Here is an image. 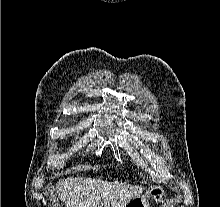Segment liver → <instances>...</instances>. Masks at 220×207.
I'll list each match as a JSON object with an SVG mask.
<instances>
[{
  "label": "liver",
  "mask_w": 220,
  "mask_h": 207,
  "mask_svg": "<svg viewBox=\"0 0 220 207\" xmlns=\"http://www.w3.org/2000/svg\"><path fill=\"white\" fill-rule=\"evenodd\" d=\"M55 190L66 207H125L142 193L143 188L117 180L71 177L60 180Z\"/></svg>",
  "instance_id": "liver-1"
}]
</instances>
